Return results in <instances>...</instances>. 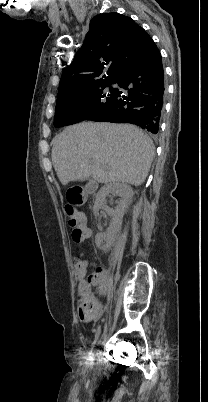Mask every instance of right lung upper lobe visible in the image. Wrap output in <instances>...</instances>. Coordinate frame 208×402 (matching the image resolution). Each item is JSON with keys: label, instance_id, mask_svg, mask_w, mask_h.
Segmentation results:
<instances>
[{"label": "right lung upper lobe", "instance_id": "obj_1", "mask_svg": "<svg viewBox=\"0 0 208 402\" xmlns=\"http://www.w3.org/2000/svg\"><path fill=\"white\" fill-rule=\"evenodd\" d=\"M145 30L130 17L103 13L90 22L84 44L64 69L58 93L97 80H116L127 57L139 44ZM106 74L101 77L103 71Z\"/></svg>", "mask_w": 208, "mask_h": 402}]
</instances>
